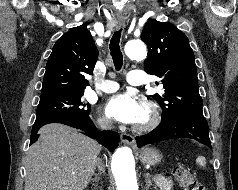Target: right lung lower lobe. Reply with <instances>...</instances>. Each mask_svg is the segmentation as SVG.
<instances>
[{
  "label": "right lung lower lobe",
  "mask_w": 238,
  "mask_h": 190,
  "mask_svg": "<svg viewBox=\"0 0 238 190\" xmlns=\"http://www.w3.org/2000/svg\"><path fill=\"white\" fill-rule=\"evenodd\" d=\"M50 123H61L74 128H78L85 132L90 133L92 138H96L99 143L107 147L110 151H113L119 143V135L113 131L98 132L93 125V122L89 116L84 117H64V118H53L44 121H37L34 123L31 131L30 144L37 141V131L44 125Z\"/></svg>",
  "instance_id": "98d812e1"
}]
</instances>
